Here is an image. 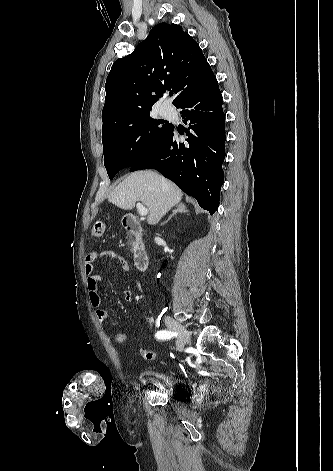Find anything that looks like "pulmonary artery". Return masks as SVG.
Instances as JSON below:
<instances>
[{
	"label": "pulmonary artery",
	"mask_w": 333,
	"mask_h": 471,
	"mask_svg": "<svg viewBox=\"0 0 333 471\" xmlns=\"http://www.w3.org/2000/svg\"><path fill=\"white\" fill-rule=\"evenodd\" d=\"M162 112H163L164 114H168V113L170 112V109L167 108V107H164L163 110H162Z\"/></svg>",
	"instance_id": "obj_1"
}]
</instances>
